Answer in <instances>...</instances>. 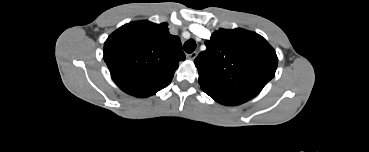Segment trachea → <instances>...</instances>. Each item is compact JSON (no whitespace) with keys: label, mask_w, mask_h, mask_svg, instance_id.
<instances>
[{"label":"trachea","mask_w":369,"mask_h":152,"mask_svg":"<svg viewBox=\"0 0 369 152\" xmlns=\"http://www.w3.org/2000/svg\"><path fill=\"white\" fill-rule=\"evenodd\" d=\"M196 48V42L194 39H189L188 41L185 42L184 44V50L187 53H192L194 52Z\"/></svg>","instance_id":"1"}]
</instances>
